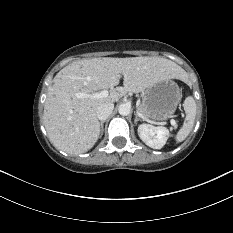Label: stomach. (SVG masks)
<instances>
[{"instance_id": "stomach-1", "label": "stomach", "mask_w": 233, "mask_h": 233, "mask_svg": "<svg viewBox=\"0 0 233 233\" xmlns=\"http://www.w3.org/2000/svg\"><path fill=\"white\" fill-rule=\"evenodd\" d=\"M180 98L179 87L171 79L155 83L144 91V115L153 120H167L174 114Z\"/></svg>"}]
</instances>
